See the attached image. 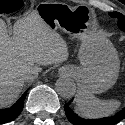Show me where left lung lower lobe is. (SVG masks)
I'll return each mask as SVG.
<instances>
[{"label":"left lung lower lobe","instance_id":"obj_1","mask_svg":"<svg viewBox=\"0 0 125 125\" xmlns=\"http://www.w3.org/2000/svg\"><path fill=\"white\" fill-rule=\"evenodd\" d=\"M71 102L72 100L69 101V103L65 104L64 109L68 120L73 125H115L125 118V108H123L121 111L110 117L91 120L83 119L75 114L74 111L71 109Z\"/></svg>","mask_w":125,"mask_h":125}]
</instances>
